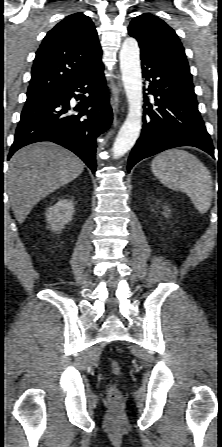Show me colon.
Listing matches in <instances>:
<instances>
[{"instance_id":"colon-1","label":"colon","mask_w":222,"mask_h":447,"mask_svg":"<svg viewBox=\"0 0 222 447\" xmlns=\"http://www.w3.org/2000/svg\"><path fill=\"white\" fill-rule=\"evenodd\" d=\"M111 371L114 375H120L121 370L117 362L113 361L111 363ZM107 398L111 403H118L121 400V393L115 385L109 388Z\"/></svg>"}]
</instances>
